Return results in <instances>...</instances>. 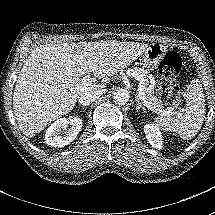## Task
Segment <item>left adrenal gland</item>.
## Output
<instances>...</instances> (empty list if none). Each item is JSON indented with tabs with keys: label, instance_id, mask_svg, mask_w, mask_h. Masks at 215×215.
I'll use <instances>...</instances> for the list:
<instances>
[{
	"label": "left adrenal gland",
	"instance_id": "a2214340",
	"mask_svg": "<svg viewBox=\"0 0 215 215\" xmlns=\"http://www.w3.org/2000/svg\"><path fill=\"white\" fill-rule=\"evenodd\" d=\"M135 101L137 103V109L142 108V103H141V101H140V99L138 98L137 95H135Z\"/></svg>",
	"mask_w": 215,
	"mask_h": 215
}]
</instances>
